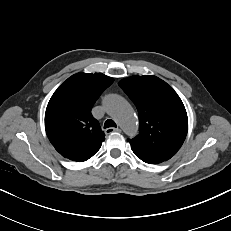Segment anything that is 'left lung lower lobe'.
Returning <instances> with one entry per match:
<instances>
[{
  "label": "left lung lower lobe",
  "mask_w": 231,
  "mask_h": 231,
  "mask_svg": "<svg viewBox=\"0 0 231 231\" xmlns=\"http://www.w3.org/2000/svg\"><path fill=\"white\" fill-rule=\"evenodd\" d=\"M135 155L140 158L142 161L148 163V164H157V163H161L163 161H167V158H163V157H157V156H148V155H142L139 153L134 152Z\"/></svg>",
  "instance_id": "0a47b994"
}]
</instances>
